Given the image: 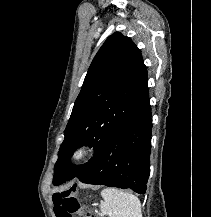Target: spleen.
<instances>
[{
	"label": "spleen",
	"instance_id": "3e777b00",
	"mask_svg": "<svg viewBox=\"0 0 211 217\" xmlns=\"http://www.w3.org/2000/svg\"><path fill=\"white\" fill-rule=\"evenodd\" d=\"M101 195V211L110 217H142L141 203L137 196L118 190L105 188Z\"/></svg>",
	"mask_w": 211,
	"mask_h": 217
}]
</instances>
